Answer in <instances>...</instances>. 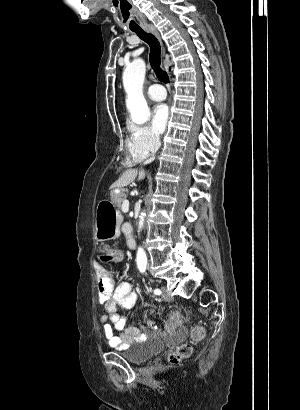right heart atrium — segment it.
Instances as JSON below:
<instances>
[{"mask_svg":"<svg viewBox=\"0 0 300 410\" xmlns=\"http://www.w3.org/2000/svg\"><path fill=\"white\" fill-rule=\"evenodd\" d=\"M161 145L160 135L148 125H131L127 148L135 160H141L155 153Z\"/></svg>","mask_w":300,"mask_h":410,"instance_id":"obj_1","label":"right heart atrium"}]
</instances>
